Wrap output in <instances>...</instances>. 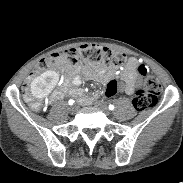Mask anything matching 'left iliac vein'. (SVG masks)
<instances>
[{"mask_svg":"<svg viewBox=\"0 0 183 183\" xmlns=\"http://www.w3.org/2000/svg\"><path fill=\"white\" fill-rule=\"evenodd\" d=\"M99 109H101L106 115H109L110 114V111L109 109L106 107L105 104L101 103V102H97L95 104Z\"/></svg>","mask_w":183,"mask_h":183,"instance_id":"1","label":"left iliac vein"}]
</instances>
